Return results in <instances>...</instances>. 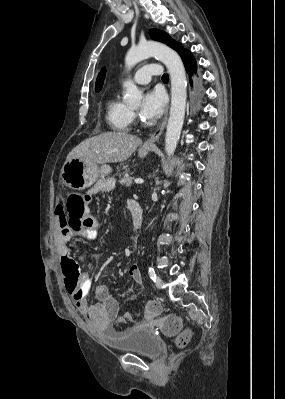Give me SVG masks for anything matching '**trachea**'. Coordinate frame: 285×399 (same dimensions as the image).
I'll return each instance as SVG.
<instances>
[{
  "label": "trachea",
  "mask_w": 285,
  "mask_h": 399,
  "mask_svg": "<svg viewBox=\"0 0 285 399\" xmlns=\"http://www.w3.org/2000/svg\"><path fill=\"white\" fill-rule=\"evenodd\" d=\"M162 80H163V81H168V80H169V76H168L167 73H164V74H163Z\"/></svg>",
  "instance_id": "trachea-1"
}]
</instances>
